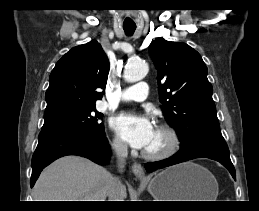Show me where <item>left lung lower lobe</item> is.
<instances>
[{
    "label": "left lung lower lobe",
    "instance_id": "left-lung-lower-lobe-1",
    "mask_svg": "<svg viewBox=\"0 0 259 211\" xmlns=\"http://www.w3.org/2000/svg\"><path fill=\"white\" fill-rule=\"evenodd\" d=\"M195 158H209L220 162L229 170L232 177L236 179L235 169L230 160L229 149L226 142L212 138H201L188 147L180 149L176 154L168 159L146 163L145 169L148 172H153L157 169L172 166Z\"/></svg>",
    "mask_w": 259,
    "mask_h": 211
}]
</instances>
